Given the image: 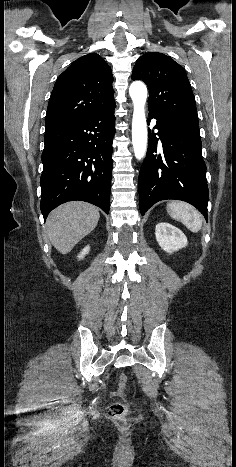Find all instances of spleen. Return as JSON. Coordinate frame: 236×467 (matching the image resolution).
<instances>
[{
	"mask_svg": "<svg viewBox=\"0 0 236 467\" xmlns=\"http://www.w3.org/2000/svg\"><path fill=\"white\" fill-rule=\"evenodd\" d=\"M167 212L173 219L181 221L192 232H198L202 228L200 213L188 203L172 201L167 204Z\"/></svg>",
	"mask_w": 236,
	"mask_h": 467,
	"instance_id": "3e777b00",
	"label": "spleen"
}]
</instances>
